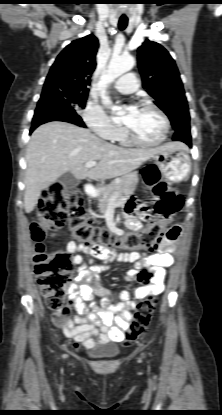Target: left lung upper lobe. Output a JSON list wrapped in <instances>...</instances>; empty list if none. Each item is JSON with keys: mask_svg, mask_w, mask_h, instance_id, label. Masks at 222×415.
<instances>
[{"mask_svg": "<svg viewBox=\"0 0 222 415\" xmlns=\"http://www.w3.org/2000/svg\"><path fill=\"white\" fill-rule=\"evenodd\" d=\"M143 88L171 121L174 131L190 128L187 99L174 59L160 44L146 40L138 48Z\"/></svg>", "mask_w": 222, "mask_h": 415, "instance_id": "5c2ea615", "label": "left lung upper lobe"}]
</instances>
